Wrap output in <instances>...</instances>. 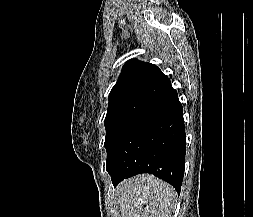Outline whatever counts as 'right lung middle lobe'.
I'll use <instances>...</instances> for the list:
<instances>
[{"instance_id": "1", "label": "right lung middle lobe", "mask_w": 253, "mask_h": 217, "mask_svg": "<svg viewBox=\"0 0 253 217\" xmlns=\"http://www.w3.org/2000/svg\"><path fill=\"white\" fill-rule=\"evenodd\" d=\"M149 104L148 101L130 100L108 107L105 119L106 139L104 143L107 150V162L126 130Z\"/></svg>"}]
</instances>
